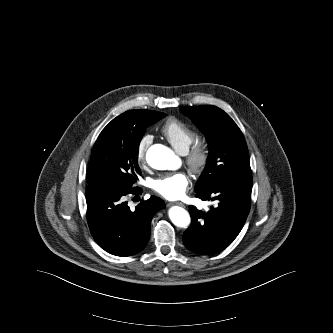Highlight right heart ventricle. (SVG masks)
<instances>
[{"mask_svg":"<svg viewBox=\"0 0 333 333\" xmlns=\"http://www.w3.org/2000/svg\"><path fill=\"white\" fill-rule=\"evenodd\" d=\"M161 133L181 154L188 152L196 138L194 130L177 118L168 119L161 127Z\"/></svg>","mask_w":333,"mask_h":333,"instance_id":"obj_1","label":"right heart ventricle"}]
</instances>
